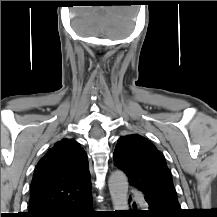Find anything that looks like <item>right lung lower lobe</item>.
Returning <instances> with one entry per match:
<instances>
[{
    "mask_svg": "<svg viewBox=\"0 0 217 217\" xmlns=\"http://www.w3.org/2000/svg\"><path fill=\"white\" fill-rule=\"evenodd\" d=\"M92 207V195L87 199L71 204H65L51 213L41 217H96Z\"/></svg>",
    "mask_w": 217,
    "mask_h": 217,
    "instance_id": "1",
    "label": "right lung lower lobe"
}]
</instances>
